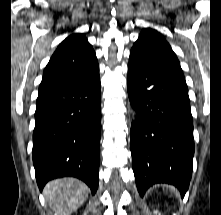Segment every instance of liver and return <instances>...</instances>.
Masks as SVG:
<instances>
[{"instance_id":"obj_1","label":"liver","mask_w":221,"mask_h":215,"mask_svg":"<svg viewBox=\"0 0 221 215\" xmlns=\"http://www.w3.org/2000/svg\"><path fill=\"white\" fill-rule=\"evenodd\" d=\"M88 187L76 178L55 179L43 190L45 200L57 215H71L88 197Z\"/></svg>"}]
</instances>
